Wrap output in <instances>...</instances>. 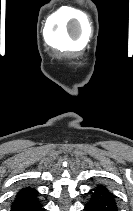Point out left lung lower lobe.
Segmentation results:
<instances>
[{"label":"left lung lower lobe","instance_id":"left-lung-lower-lobe-1","mask_svg":"<svg viewBox=\"0 0 133 211\" xmlns=\"http://www.w3.org/2000/svg\"><path fill=\"white\" fill-rule=\"evenodd\" d=\"M89 195L85 211H118L115 196L107 188L98 186Z\"/></svg>","mask_w":133,"mask_h":211}]
</instances>
